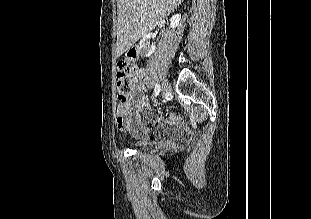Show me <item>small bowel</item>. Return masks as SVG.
I'll use <instances>...</instances> for the list:
<instances>
[{"instance_id":"1","label":"small bowel","mask_w":311,"mask_h":219,"mask_svg":"<svg viewBox=\"0 0 311 219\" xmlns=\"http://www.w3.org/2000/svg\"><path fill=\"white\" fill-rule=\"evenodd\" d=\"M144 71H137L135 84L130 95V100L126 104H119L116 109V124L120 131L131 133L139 140L150 139L152 135L159 136L160 138L167 135L169 141L177 142L180 138L187 141V138H183L177 135L174 131H161L163 125V116L160 114V110L153 109L149 114H144L143 110L147 106V100L144 94V86L140 82ZM169 124L178 126L180 119L171 115ZM150 127H155L153 130Z\"/></svg>"}]
</instances>
